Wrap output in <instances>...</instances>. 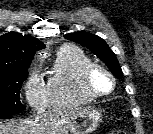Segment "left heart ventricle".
Masks as SVG:
<instances>
[{"mask_svg":"<svg viewBox=\"0 0 153 134\" xmlns=\"http://www.w3.org/2000/svg\"><path fill=\"white\" fill-rule=\"evenodd\" d=\"M92 88L97 92H107L111 89L110 79L102 72L96 71L91 78Z\"/></svg>","mask_w":153,"mask_h":134,"instance_id":"obj_1","label":"left heart ventricle"}]
</instances>
